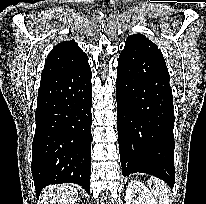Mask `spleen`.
Instances as JSON below:
<instances>
[{
    "mask_svg": "<svg viewBox=\"0 0 206 204\" xmlns=\"http://www.w3.org/2000/svg\"><path fill=\"white\" fill-rule=\"evenodd\" d=\"M148 184L151 187V190L155 197L159 200V204H170L169 200V188L164 181L156 177H151L148 179Z\"/></svg>",
    "mask_w": 206,
    "mask_h": 204,
    "instance_id": "obj_1",
    "label": "spleen"
}]
</instances>
